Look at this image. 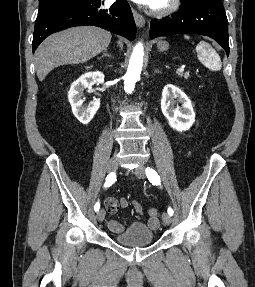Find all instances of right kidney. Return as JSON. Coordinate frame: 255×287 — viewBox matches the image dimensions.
Wrapping results in <instances>:
<instances>
[{
	"mask_svg": "<svg viewBox=\"0 0 255 287\" xmlns=\"http://www.w3.org/2000/svg\"><path fill=\"white\" fill-rule=\"evenodd\" d=\"M104 74L102 72H87L80 76L76 82L71 84V88L68 92V100L72 106V112L81 122V124H89L92 118H94L98 108H100V98L93 100L90 108L83 106L84 100H82V92L86 88H91L94 84H103Z\"/></svg>",
	"mask_w": 255,
	"mask_h": 287,
	"instance_id": "1",
	"label": "right kidney"
}]
</instances>
